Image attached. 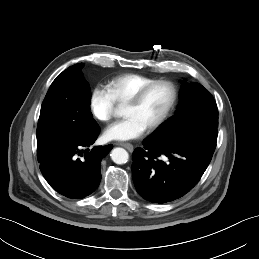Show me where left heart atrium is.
I'll list each match as a JSON object with an SVG mask.
<instances>
[{
    "label": "left heart atrium",
    "mask_w": 259,
    "mask_h": 259,
    "mask_svg": "<svg viewBox=\"0 0 259 259\" xmlns=\"http://www.w3.org/2000/svg\"><path fill=\"white\" fill-rule=\"evenodd\" d=\"M145 131L146 127L136 118L128 116L108 126L105 130V136L109 140L126 141L141 136Z\"/></svg>",
    "instance_id": "39dd6f15"
}]
</instances>
